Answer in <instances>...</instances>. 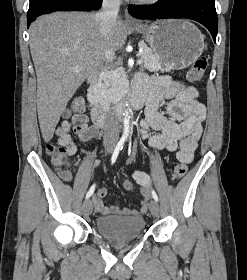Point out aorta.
<instances>
[{"label": "aorta", "instance_id": "1", "mask_svg": "<svg viewBox=\"0 0 247 280\" xmlns=\"http://www.w3.org/2000/svg\"><path fill=\"white\" fill-rule=\"evenodd\" d=\"M126 106H128V104L126 103ZM129 112L128 110L125 111L124 113V129H123V134L124 135H128L129 134V130H130V120H129Z\"/></svg>", "mask_w": 247, "mask_h": 280}]
</instances>
